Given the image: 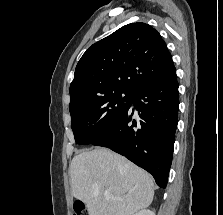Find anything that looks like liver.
I'll list each match as a JSON object with an SVG mask.
<instances>
[{"label": "liver", "mask_w": 223, "mask_h": 215, "mask_svg": "<svg viewBox=\"0 0 223 215\" xmlns=\"http://www.w3.org/2000/svg\"><path fill=\"white\" fill-rule=\"evenodd\" d=\"M70 173L72 193L89 215H132L152 203V175L106 147L74 155ZM105 189L123 199H107Z\"/></svg>", "instance_id": "6515ba94"}]
</instances>
